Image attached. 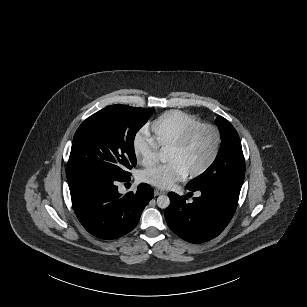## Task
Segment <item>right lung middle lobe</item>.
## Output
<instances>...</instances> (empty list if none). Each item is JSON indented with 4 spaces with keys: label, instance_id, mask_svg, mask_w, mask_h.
<instances>
[{
    "label": "right lung middle lobe",
    "instance_id": "obj_1",
    "mask_svg": "<svg viewBox=\"0 0 307 307\" xmlns=\"http://www.w3.org/2000/svg\"><path fill=\"white\" fill-rule=\"evenodd\" d=\"M154 110L117 104L87 118L73 138L67 179L92 174L129 178L136 165L135 135Z\"/></svg>",
    "mask_w": 307,
    "mask_h": 307
}]
</instances>
